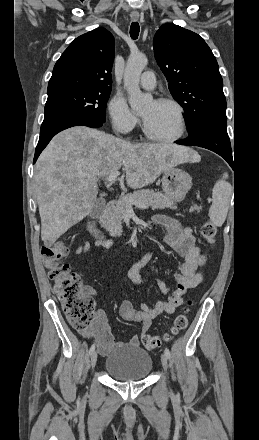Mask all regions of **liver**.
Here are the masks:
<instances>
[{"mask_svg":"<svg viewBox=\"0 0 259 440\" xmlns=\"http://www.w3.org/2000/svg\"><path fill=\"white\" fill-rule=\"evenodd\" d=\"M200 160L174 144L130 143L105 132L77 126L57 134L35 166V191L41 218V238L51 247L93 209L97 181L123 168L127 186L152 184L166 170Z\"/></svg>","mask_w":259,"mask_h":440,"instance_id":"obj_1","label":"liver"}]
</instances>
